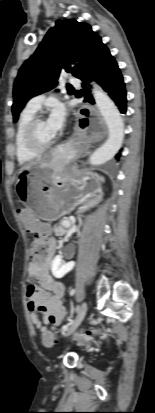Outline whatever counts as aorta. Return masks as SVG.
<instances>
[{
	"label": "aorta",
	"mask_w": 155,
	"mask_h": 413,
	"mask_svg": "<svg viewBox=\"0 0 155 413\" xmlns=\"http://www.w3.org/2000/svg\"><path fill=\"white\" fill-rule=\"evenodd\" d=\"M93 96L108 127V139L89 158V163L96 166L112 159L120 149L124 139V123L114 102L97 84H93Z\"/></svg>",
	"instance_id": "762f6f07"
}]
</instances>
